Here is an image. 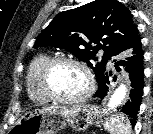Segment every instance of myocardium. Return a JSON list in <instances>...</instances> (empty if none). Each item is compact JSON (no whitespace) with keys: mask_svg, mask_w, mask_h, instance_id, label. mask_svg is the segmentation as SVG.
<instances>
[{"mask_svg":"<svg viewBox=\"0 0 153 134\" xmlns=\"http://www.w3.org/2000/svg\"><path fill=\"white\" fill-rule=\"evenodd\" d=\"M61 64H70L80 68L87 79V87L84 93L75 98H64L56 94L50 86V76L53 69ZM39 85L42 93L50 100L67 105L81 104L88 100L95 87L94 77L90 68L82 61L70 57H55L50 58L42 67L39 75Z\"/></svg>","mask_w":153,"mask_h":134,"instance_id":"obj_1","label":"myocardium"}]
</instances>
